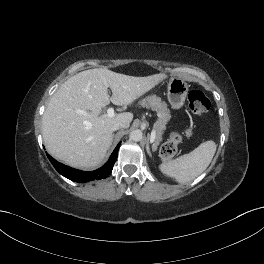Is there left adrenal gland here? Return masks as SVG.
Listing matches in <instances>:
<instances>
[{"mask_svg": "<svg viewBox=\"0 0 264 264\" xmlns=\"http://www.w3.org/2000/svg\"><path fill=\"white\" fill-rule=\"evenodd\" d=\"M150 137H149V135H148V141H147V144H146V151H147V154L149 155V156H151V152H150Z\"/></svg>", "mask_w": 264, "mask_h": 264, "instance_id": "obj_1", "label": "left adrenal gland"}]
</instances>
